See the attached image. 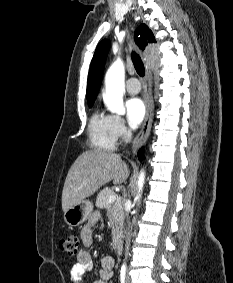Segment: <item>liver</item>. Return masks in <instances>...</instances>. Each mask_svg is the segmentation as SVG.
I'll return each instance as SVG.
<instances>
[{
  "label": "liver",
  "mask_w": 233,
  "mask_h": 283,
  "mask_svg": "<svg viewBox=\"0 0 233 283\" xmlns=\"http://www.w3.org/2000/svg\"><path fill=\"white\" fill-rule=\"evenodd\" d=\"M128 176V165L119 154L102 150L83 152L68 171L62 192L63 212L93 195L108 182L121 184Z\"/></svg>",
  "instance_id": "1"
}]
</instances>
